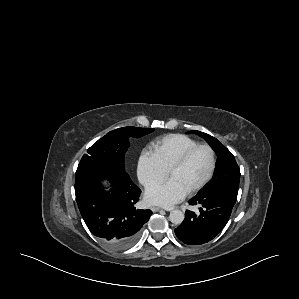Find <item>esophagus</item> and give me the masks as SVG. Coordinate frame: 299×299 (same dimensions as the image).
<instances>
[{
    "mask_svg": "<svg viewBox=\"0 0 299 299\" xmlns=\"http://www.w3.org/2000/svg\"><path fill=\"white\" fill-rule=\"evenodd\" d=\"M151 210H152L153 212H158V211H161V210H163V209L160 208V207H155V206H153V207H151Z\"/></svg>",
    "mask_w": 299,
    "mask_h": 299,
    "instance_id": "1",
    "label": "esophagus"
}]
</instances>
